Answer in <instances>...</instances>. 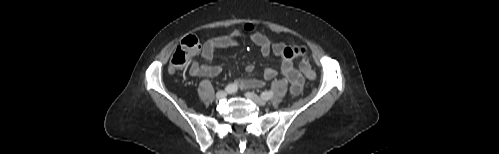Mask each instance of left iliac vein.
I'll return each mask as SVG.
<instances>
[{
  "mask_svg": "<svg viewBox=\"0 0 499 154\" xmlns=\"http://www.w3.org/2000/svg\"><path fill=\"white\" fill-rule=\"evenodd\" d=\"M245 96H246V98H248L249 100L254 102L256 105L264 106L266 104L265 99L260 98L259 96H257L256 94H254L252 92H246Z\"/></svg>",
  "mask_w": 499,
  "mask_h": 154,
  "instance_id": "obj_1",
  "label": "left iliac vein"
}]
</instances>
